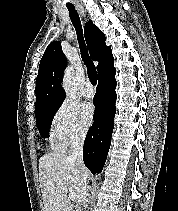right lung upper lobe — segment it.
Listing matches in <instances>:
<instances>
[{
  "label": "right lung upper lobe",
  "instance_id": "right-lung-upper-lobe-1",
  "mask_svg": "<svg viewBox=\"0 0 178 211\" xmlns=\"http://www.w3.org/2000/svg\"><path fill=\"white\" fill-rule=\"evenodd\" d=\"M86 43L93 60L97 65L98 78L115 71L111 47L105 44V35L92 21L84 27ZM67 60L58 41L51 42L41 58L36 79L35 114L52 105L61 104L65 93L61 87L62 76Z\"/></svg>",
  "mask_w": 178,
  "mask_h": 211
}]
</instances>
